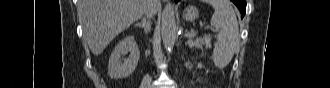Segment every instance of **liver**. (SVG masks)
<instances>
[{"label":"liver","mask_w":330,"mask_h":88,"mask_svg":"<svg viewBox=\"0 0 330 88\" xmlns=\"http://www.w3.org/2000/svg\"><path fill=\"white\" fill-rule=\"evenodd\" d=\"M148 4L149 0H80L78 14L92 53L101 54L120 32L144 15ZM153 4L157 11L159 0Z\"/></svg>","instance_id":"1"}]
</instances>
